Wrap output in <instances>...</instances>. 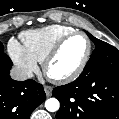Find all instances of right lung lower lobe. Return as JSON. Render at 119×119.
<instances>
[{
    "label": "right lung lower lobe",
    "mask_w": 119,
    "mask_h": 119,
    "mask_svg": "<svg viewBox=\"0 0 119 119\" xmlns=\"http://www.w3.org/2000/svg\"><path fill=\"white\" fill-rule=\"evenodd\" d=\"M12 63L0 59V119H29L46 97L43 86L32 79L15 81L9 73Z\"/></svg>",
    "instance_id": "right-lung-lower-lobe-1"
}]
</instances>
